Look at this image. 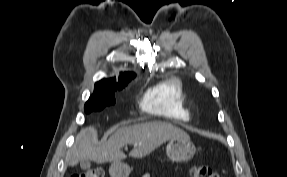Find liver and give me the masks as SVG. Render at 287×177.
Listing matches in <instances>:
<instances>
[{"instance_id":"1","label":"liver","mask_w":287,"mask_h":177,"mask_svg":"<svg viewBox=\"0 0 287 177\" xmlns=\"http://www.w3.org/2000/svg\"><path fill=\"white\" fill-rule=\"evenodd\" d=\"M96 129L86 127L76 136L75 144L68 156V164L76 165L84 159L98 164L120 162L126 158L121 148L133 145L130 156L142 158L149 155L161 144L176 138H189L186 132L173 124L151 121L117 129L105 142L96 144Z\"/></svg>"}]
</instances>
